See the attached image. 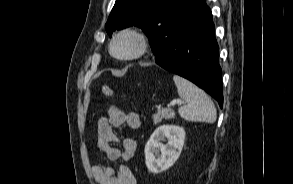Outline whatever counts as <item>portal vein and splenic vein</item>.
Returning <instances> with one entry per match:
<instances>
[{"label": "portal vein and splenic vein", "mask_w": 293, "mask_h": 184, "mask_svg": "<svg viewBox=\"0 0 293 184\" xmlns=\"http://www.w3.org/2000/svg\"><path fill=\"white\" fill-rule=\"evenodd\" d=\"M184 102L181 101V100H173L172 102H170V104H168V107H172V106H175V105H178L180 106L181 104H183Z\"/></svg>", "instance_id": "portal-vein-and-splenic-vein-1"}]
</instances>
